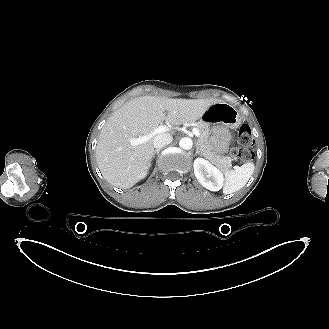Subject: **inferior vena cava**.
Wrapping results in <instances>:
<instances>
[{"label":"inferior vena cava","instance_id":"obj_1","mask_svg":"<svg viewBox=\"0 0 329 329\" xmlns=\"http://www.w3.org/2000/svg\"><path fill=\"white\" fill-rule=\"evenodd\" d=\"M173 138L168 133H162L154 137L153 139V145L156 149H161L164 146L170 144L172 142Z\"/></svg>","mask_w":329,"mask_h":329}]
</instances>
